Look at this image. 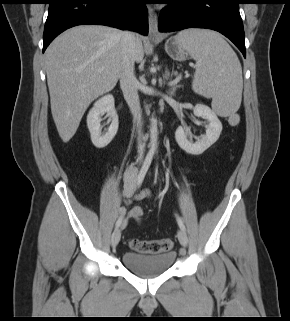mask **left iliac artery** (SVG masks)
I'll list each match as a JSON object with an SVG mask.
<instances>
[{"instance_id": "44dca946", "label": "left iliac artery", "mask_w": 290, "mask_h": 321, "mask_svg": "<svg viewBox=\"0 0 290 321\" xmlns=\"http://www.w3.org/2000/svg\"><path fill=\"white\" fill-rule=\"evenodd\" d=\"M155 174H156V176H157V174H158L157 170H156ZM176 218H177V222H178L179 227H180L183 231H185L186 229H185V226H184L183 221L181 220V218H180L178 215H176Z\"/></svg>"}]
</instances>
